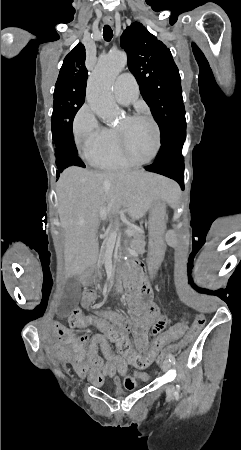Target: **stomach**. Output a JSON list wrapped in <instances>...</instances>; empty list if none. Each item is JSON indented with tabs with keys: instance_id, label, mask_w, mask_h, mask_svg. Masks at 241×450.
Segmentation results:
<instances>
[{
	"instance_id": "0dacf381",
	"label": "stomach",
	"mask_w": 241,
	"mask_h": 450,
	"mask_svg": "<svg viewBox=\"0 0 241 450\" xmlns=\"http://www.w3.org/2000/svg\"><path fill=\"white\" fill-rule=\"evenodd\" d=\"M165 233V206L160 201L153 204L149 220L148 241V267L151 273L155 271L163 261L166 243Z\"/></svg>"
}]
</instances>
